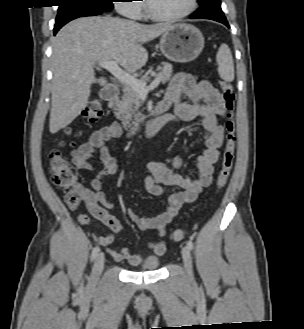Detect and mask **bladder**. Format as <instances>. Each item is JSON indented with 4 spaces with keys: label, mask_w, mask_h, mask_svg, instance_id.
I'll list each match as a JSON object with an SVG mask.
<instances>
[{
    "label": "bladder",
    "mask_w": 304,
    "mask_h": 329,
    "mask_svg": "<svg viewBox=\"0 0 304 329\" xmlns=\"http://www.w3.org/2000/svg\"><path fill=\"white\" fill-rule=\"evenodd\" d=\"M162 261L157 256H149L142 259L137 266V270L141 271H157L161 265Z\"/></svg>",
    "instance_id": "obj_1"
}]
</instances>
